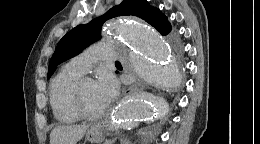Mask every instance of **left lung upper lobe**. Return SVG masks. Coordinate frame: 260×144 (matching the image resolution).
<instances>
[{
    "label": "left lung upper lobe",
    "mask_w": 260,
    "mask_h": 144,
    "mask_svg": "<svg viewBox=\"0 0 260 144\" xmlns=\"http://www.w3.org/2000/svg\"><path fill=\"white\" fill-rule=\"evenodd\" d=\"M125 15H134L145 20L162 35H167L171 31L167 17L159 9L150 6L146 0H123L121 4L112 7L102 16L87 24L76 26L62 37L51 57L47 78L51 77L58 64L76 56L87 46L97 41L106 20Z\"/></svg>",
    "instance_id": "5c2ea615"
}]
</instances>
